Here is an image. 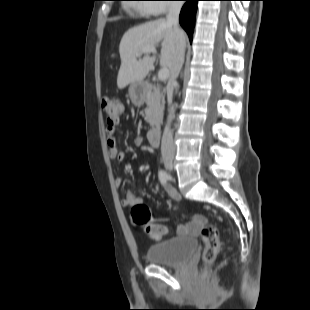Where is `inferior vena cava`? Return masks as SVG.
Returning <instances> with one entry per match:
<instances>
[{"mask_svg":"<svg viewBox=\"0 0 310 310\" xmlns=\"http://www.w3.org/2000/svg\"><path fill=\"white\" fill-rule=\"evenodd\" d=\"M181 7H182L181 2L178 1L172 2L169 6L168 14L166 16L167 22L173 26L176 34V49L170 67V81L167 87V101L169 106L172 104L174 86L176 83V79L181 71L182 65L184 63V55H185V38L183 31L180 30L179 28V13ZM171 118H172L171 115H169L168 123L166 124L162 135L161 154L163 157L167 155L173 156L175 153L172 130L170 129L169 125Z\"/></svg>","mask_w":310,"mask_h":310,"instance_id":"inferior-vena-cava-1","label":"inferior vena cava"}]
</instances>
